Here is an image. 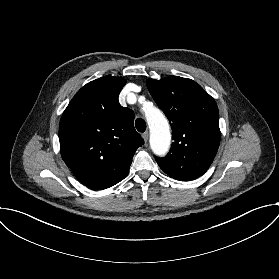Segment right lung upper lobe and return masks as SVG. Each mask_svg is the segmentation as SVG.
I'll return each instance as SVG.
<instances>
[{"label": "right lung upper lobe", "instance_id": "right-lung-upper-lobe-1", "mask_svg": "<svg viewBox=\"0 0 279 279\" xmlns=\"http://www.w3.org/2000/svg\"><path fill=\"white\" fill-rule=\"evenodd\" d=\"M125 83L111 76L91 81L76 93L60 120L62 158L74 176L94 190L124 179L144 143L133 126L134 112L118 102Z\"/></svg>", "mask_w": 279, "mask_h": 279}]
</instances>
